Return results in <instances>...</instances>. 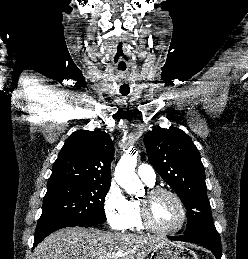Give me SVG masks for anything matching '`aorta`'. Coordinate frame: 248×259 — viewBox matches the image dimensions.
<instances>
[{"mask_svg": "<svg viewBox=\"0 0 248 259\" xmlns=\"http://www.w3.org/2000/svg\"><path fill=\"white\" fill-rule=\"evenodd\" d=\"M137 156L124 154L115 168L116 182L128 193L138 194L143 189V184L135 174Z\"/></svg>", "mask_w": 248, "mask_h": 259, "instance_id": "1", "label": "aorta"}]
</instances>
